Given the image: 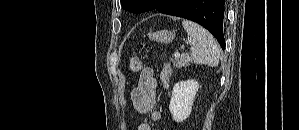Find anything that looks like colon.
I'll return each mask as SVG.
<instances>
[{"label":"colon","mask_w":299,"mask_h":130,"mask_svg":"<svg viewBox=\"0 0 299 130\" xmlns=\"http://www.w3.org/2000/svg\"><path fill=\"white\" fill-rule=\"evenodd\" d=\"M142 68V60L140 56H134L133 58H131L130 60V70L132 72H138L140 71ZM170 71V66L169 65H165L162 71V77L163 79L167 76V74Z\"/></svg>","instance_id":"colon-1"}]
</instances>
